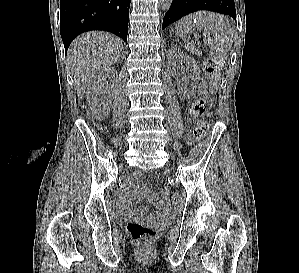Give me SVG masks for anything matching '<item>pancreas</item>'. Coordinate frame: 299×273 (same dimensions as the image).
<instances>
[{
  "label": "pancreas",
  "instance_id": "obj_1",
  "mask_svg": "<svg viewBox=\"0 0 299 273\" xmlns=\"http://www.w3.org/2000/svg\"><path fill=\"white\" fill-rule=\"evenodd\" d=\"M188 50L191 51L193 54L199 55V51L193 48L192 46H189Z\"/></svg>",
  "mask_w": 299,
  "mask_h": 273
}]
</instances>
